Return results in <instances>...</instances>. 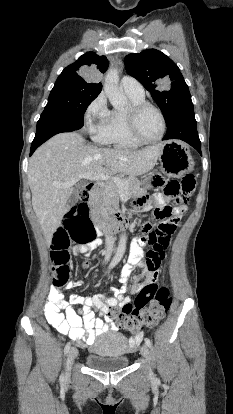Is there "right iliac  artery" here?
<instances>
[{"label": "right iliac artery", "mask_w": 233, "mask_h": 414, "mask_svg": "<svg viewBox=\"0 0 233 414\" xmlns=\"http://www.w3.org/2000/svg\"><path fill=\"white\" fill-rule=\"evenodd\" d=\"M115 264H116L115 262H111L110 265H109V269L113 268L115 266ZM69 349H70V343L68 342L66 344L65 348H64V354H67ZM60 381L64 382V375L63 374H61V376H60Z\"/></svg>", "instance_id": "1"}]
</instances>
